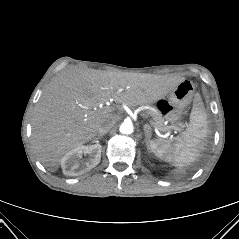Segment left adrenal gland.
Listing matches in <instances>:
<instances>
[{"label": "left adrenal gland", "mask_w": 239, "mask_h": 239, "mask_svg": "<svg viewBox=\"0 0 239 239\" xmlns=\"http://www.w3.org/2000/svg\"><path fill=\"white\" fill-rule=\"evenodd\" d=\"M143 127H144V133H145V144L147 146V149H149V141L152 135L151 126L148 124H145Z\"/></svg>", "instance_id": "a2214340"}]
</instances>
